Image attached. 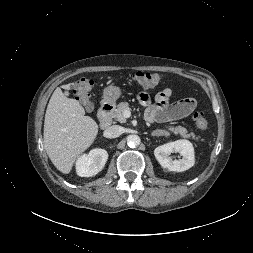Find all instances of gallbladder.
<instances>
[{
	"label": "gallbladder",
	"mask_w": 253,
	"mask_h": 253,
	"mask_svg": "<svg viewBox=\"0 0 253 253\" xmlns=\"http://www.w3.org/2000/svg\"><path fill=\"white\" fill-rule=\"evenodd\" d=\"M66 93V95H69V92H65Z\"/></svg>",
	"instance_id": "gallbladder-1"
}]
</instances>
